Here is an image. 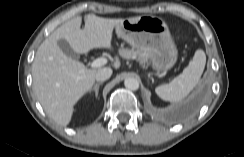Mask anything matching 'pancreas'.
<instances>
[{"label":"pancreas","mask_w":244,"mask_h":157,"mask_svg":"<svg viewBox=\"0 0 244 157\" xmlns=\"http://www.w3.org/2000/svg\"><path fill=\"white\" fill-rule=\"evenodd\" d=\"M120 56L125 59H135L138 58L140 61H146L147 55L141 51L137 50H129V49H121Z\"/></svg>","instance_id":"1"}]
</instances>
